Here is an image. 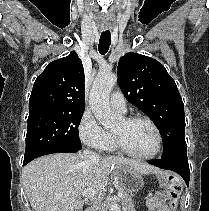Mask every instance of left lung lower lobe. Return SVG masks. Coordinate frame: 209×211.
<instances>
[{"label": "left lung lower lobe", "mask_w": 209, "mask_h": 211, "mask_svg": "<svg viewBox=\"0 0 209 211\" xmlns=\"http://www.w3.org/2000/svg\"><path fill=\"white\" fill-rule=\"evenodd\" d=\"M149 164L165 170H171L178 173L189 186L190 170L186 151L177 153L168 158L148 161Z\"/></svg>", "instance_id": "0a47b994"}]
</instances>
